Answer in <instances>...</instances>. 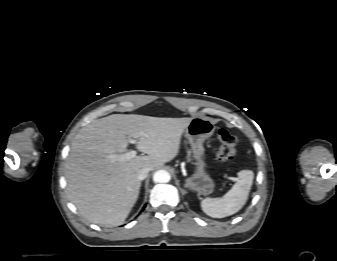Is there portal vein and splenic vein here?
<instances>
[{
	"label": "portal vein and splenic vein",
	"instance_id": "1",
	"mask_svg": "<svg viewBox=\"0 0 337 261\" xmlns=\"http://www.w3.org/2000/svg\"><path fill=\"white\" fill-rule=\"evenodd\" d=\"M131 144H135L136 140L135 139H129L128 140ZM137 152L135 150H131L129 152H126L124 154H115L111 156V159L114 161H127L130 160L134 157H136Z\"/></svg>",
	"mask_w": 337,
	"mask_h": 261
}]
</instances>
